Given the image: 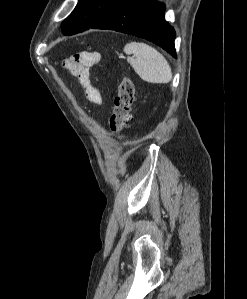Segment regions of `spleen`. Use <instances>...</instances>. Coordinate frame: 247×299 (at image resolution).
Masks as SVG:
<instances>
[{
  "label": "spleen",
  "mask_w": 247,
  "mask_h": 299,
  "mask_svg": "<svg viewBox=\"0 0 247 299\" xmlns=\"http://www.w3.org/2000/svg\"><path fill=\"white\" fill-rule=\"evenodd\" d=\"M123 51L128 62L141 79L150 83H168L172 79V71L165 57L155 48L142 42H131Z\"/></svg>",
  "instance_id": "1"
}]
</instances>
